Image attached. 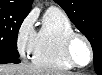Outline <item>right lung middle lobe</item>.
<instances>
[{
    "label": "right lung middle lobe",
    "instance_id": "obj_1",
    "mask_svg": "<svg viewBox=\"0 0 102 75\" xmlns=\"http://www.w3.org/2000/svg\"><path fill=\"white\" fill-rule=\"evenodd\" d=\"M29 12L0 10V57H19L17 35L19 28Z\"/></svg>",
    "mask_w": 102,
    "mask_h": 75
}]
</instances>
